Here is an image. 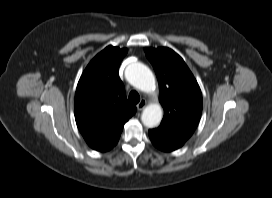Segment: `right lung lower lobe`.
Here are the masks:
<instances>
[{
  "label": "right lung lower lobe",
  "mask_w": 272,
  "mask_h": 198,
  "mask_svg": "<svg viewBox=\"0 0 272 198\" xmlns=\"http://www.w3.org/2000/svg\"><path fill=\"white\" fill-rule=\"evenodd\" d=\"M120 134H121V133H120ZM120 134L117 135V136L113 139V141H112L111 143H109L107 146H105L103 149H101V150H99V151L105 152V151L110 150L112 147H114V146L117 144L118 140H119Z\"/></svg>",
  "instance_id": "obj_1"
}]
</instances>
